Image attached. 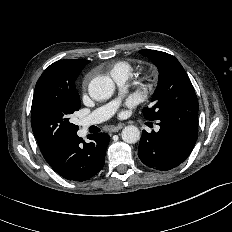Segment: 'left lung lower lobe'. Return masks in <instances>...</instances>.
Instances as JSON below:
<instances>
[{"label": "left lung lower lobe", "instance_id": "0a47b994", "mask_svg": "<svg viewBox=\"0 0 232 232\" xmlns=\"http://www.w3.org/2000/svg\"><path fill=\"white\" fill-rule=\"evenodd\" d=\"M160 130L142 131L138 147L140 160L148 167L168 171L190 155L198 136V111L176 110L163 115Z\"/></svg>", "mask_w": 232, "mask_h": 232}]
</instances>
